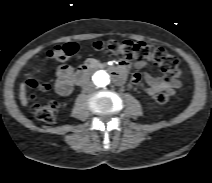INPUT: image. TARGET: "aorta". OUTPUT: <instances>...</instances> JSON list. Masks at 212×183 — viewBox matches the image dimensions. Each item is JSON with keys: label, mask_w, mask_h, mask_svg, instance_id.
Returning a JSON list of instances; mask_svg holds the SVG:
<instances>
[{"label": "aorta", "mask_w": 212, "mask_h": 183, "mask_svg": "<svg viewBox=\"0 0 212 183\" xmlns=\"http://www.w3.org/2000/svg\"><path fill=\"white\" fill-rule=\"evenodd\" d=\"M90 83L94 85L95 89H104L110 83V75L106 70H96L91 75Z\"/></svg>", "instance_id": "762f6f07"}]
</instances>
